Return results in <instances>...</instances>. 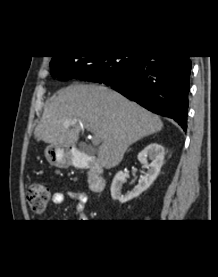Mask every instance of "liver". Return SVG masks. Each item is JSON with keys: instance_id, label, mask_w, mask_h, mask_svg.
<instances>
[{"instance_id": "liver-1", "label": "liver", "mask_w": 218, "mask_h": 277, "mask_svg": "<svg viewBox=\"0 0 218 277\" xmlns=\"http://www.w3.org/2000/svg\"><path fill=\"white\" fill-rule=\"evenodd\" d=\"M82 123L98 136V161L107 169L122 161L130 145L163 128L160 117L110 88L80 84L49 100L34 136L50 146L69 147L78 141Z\"/></svg>"}]
</instances>
